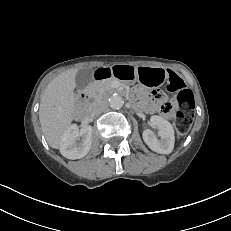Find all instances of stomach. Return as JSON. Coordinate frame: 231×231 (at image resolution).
<instances>
[{"label": "stomach", "instance_id": "stomach-1", "mask_svg": "<svg viewBox=\"0 0 231 231\" xmlns=\"http://www.w3.org/2000/svg\"><path fill=\"white\" fill-rule=\"evenodd\" d=\"M112 71L125 82L133 83L138 79L148 87L160 85L166 74L161 68L137 67L130 64H116Z\"/></svg>", "mask_w": 231, "mask_h": 231}]
</instances>
